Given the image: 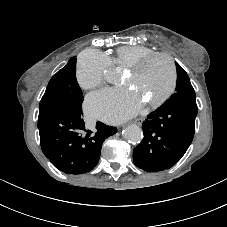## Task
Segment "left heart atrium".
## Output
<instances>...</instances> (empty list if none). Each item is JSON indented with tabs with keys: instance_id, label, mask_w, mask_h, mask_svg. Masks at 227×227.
Returning <instances> with one entry per match:
<instances>
[{
	"instance_id": "39dd6f15",
	"label": "left heart atrium",
	"mask_w": 227,
	"mask_h": 227,
	"mask_svg": "<svg viewBox=\"0 0 227 227\" xmlns=\"http://www.w3.org/2000/svg\"><path fill=\"white\" fill-rule=\"evenodd\" d=\"M142 105V99L135 92L125 88H112L90 94L85 109L95 118L119 123L135 115Z\"/></svg>"
}]
</instances>
